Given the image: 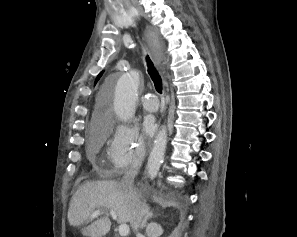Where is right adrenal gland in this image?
I'll return each mask as SVG.
<instances>
[{
	"instance_id": "1",
	"label": "right adrenal gland",
	"mask_w": 297,
	"mask_h": 237,
	"mask_svg": "<svg viewBox=\"0 0 297 237\" xmlns=\"http://www.w3.org/2000/svg\"><path fill=\"white\" fill-rule=\"evenodd\" d=\"M144 205L146 207V214L142 220V223L140 225V229H144L147 225V221L150 220L153 217V212L150 210V207L146 204V201H144Z\"/></svg>"
}]
</instances>
